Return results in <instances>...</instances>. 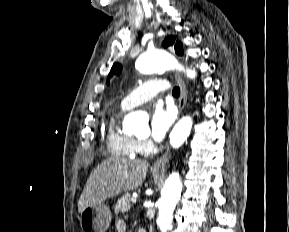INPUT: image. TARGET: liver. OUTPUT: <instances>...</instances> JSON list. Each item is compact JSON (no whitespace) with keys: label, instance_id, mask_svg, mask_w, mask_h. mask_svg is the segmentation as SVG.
<instances>
[{"label":"liver","instance_id":"obj_1","mask_svg":"<svg viewBox=\"0 0 289 232\" xmlns=\"http://www.w3.org/2000/svg\"><path fill=\"white\" fill-rule=\"evenodd\" d=\"M148 168L149 164L139 159L104 160L90 174L78 202V211L81 213L91 204L137 189L143 183Z\"/></svg>","mask_w":289,"mask_h":232}]
</instances>
